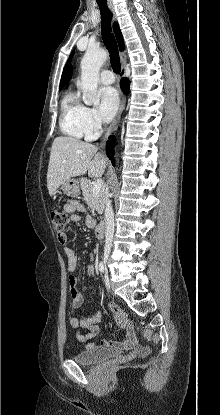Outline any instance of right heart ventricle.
I'll return each instance as SVG.
<instances>
[{
	"instance_id": "e07e8e85",
	"label": "right heart ventricle",
	"mask_w": 220,
	"mask_h": 415,
	"mask_svg": "<svg viewBox=\"0 0 220 415\" xmlns=\"http://www.w3.org/2000/svg\"><path fill=\"white\" fill-rule=\"evenodd\" d=\"M84 106L80 102L77 94L68 92L61 102V113L59 127L63 134L81 139H90L87 135L84 123Z\"/></svg>"
}]
</instances>
